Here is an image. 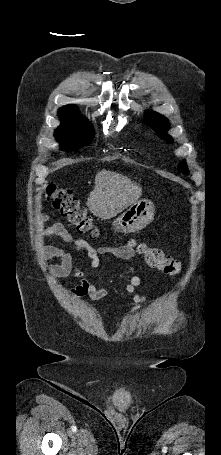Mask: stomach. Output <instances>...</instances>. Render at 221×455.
I'll return each mask as SVG.
<instances>
[{"instance_id": "obj_1", "label": "stomach", "mask_w": 221, "mask_h": 455, "mask_svg": "<svg viewBox=\"0 0 221 455\" xmlns=\"http://www.w3.org/2000/svg\"><path fill=\"white\" fill-rule=\"evenodd\" d=\"M155 207L152 201L141 199L130 205L113 221L115 232L133 233L145 228L154 218Z\"/></svg>"}]
</instances>
